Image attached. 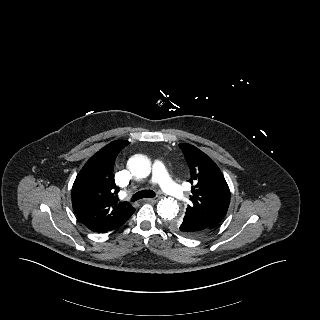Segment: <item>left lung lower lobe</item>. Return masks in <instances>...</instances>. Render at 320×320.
Instances as JSON below:
<instances>
[{"mask_svg": "<svg viewBox=\"0 0 320 320\" xmlns=\"http://www.w3.org/2000/svg\"><path fill=\"white\" fill-rule=\"evenodd\" d=\"M170 227L175 232L190 238L197 237L212 230L210 227L205 226V224L198 222L197 218L190 215H185L181 218L177 228L173 227L172 222L170 223Z\"/></svg>", "mask_w": 320, "mask_h": 320, "instance_id": "1", "label": "left lung lower lobe"}]
</instances>
